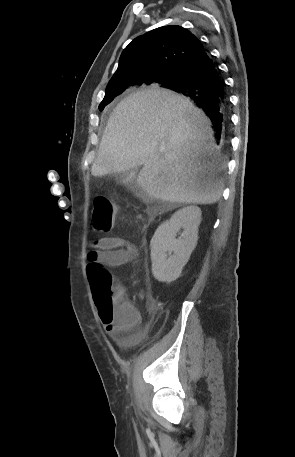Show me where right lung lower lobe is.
<instances>
[{
  "label": "right lung lower lobe",
  "mask_w": 295,
  "mask_h": 457,
  "mask_svg": "<svg viewBox=\"0 0 295 457\" xmlns=\"http://www.w3.org/2000/svg\"><path fill=\"white\" fill-rule=\"evenodd\" d=\"M162 87L182 93L196 102L211 119L217 140L221 139V131L228 122L229 101L220 72L205 51L190 60L173 81Z\"/></svg>",
  "instance_id": "obj_1"
}]
</instances>
